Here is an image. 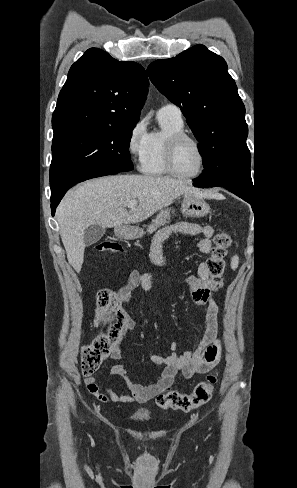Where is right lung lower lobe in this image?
Segmentation results:
<instances>
[{
	"instance_id": "right-lung-lower-lobe-1",
	"label": "right lung lower lobe",
	"mask_w": 297,
	"mask_h": 488,
	"mask_svg": "<svg viewBox=\"0 0 297 488\" xmlns=\"http://www.w3.org/2000/svg\"><path fill=\"white\" fill-rule=\"evenodd\" d=\"M116 173H118V172H107V173H100V174H96V175L89 176V177H87V178L83 179L82 181H85V180H87V179H91V178H95V177H101V176H106V175H113V174H116ZM82 181H80V182H82ZM76 184H77V183H76ZM74 185H75V184H74ZM74 185H72V186H74ZM72 186H71V187H72ZM71 187L67 188V189H66L64 192H62L61 194H59V195H57V196H55V197L51 198V211H52V216H54V214H55V210H56V207H57V205L59 204V202L61 201L62 197L64 196V194L66 193V191H67L68 189H70Z\"/></svg>"
}]
</instances>
